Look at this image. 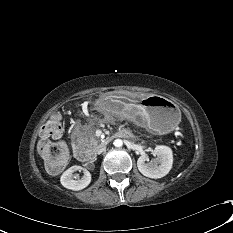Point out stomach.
<instances>
[{
    "instance_id": "0dacf381",
    "label": "stomach",
    "mask_w": 233,
    "mask_h": 233,
    "mask_svg": "<svg viewBox=\"0 0 233 233\" xmlns=\"http://www.w3.org/2000/svg\"><path fill=\"white\" fill-rule=\"evenodd\" d=\"M107 112L128 116L134 123L146 126L157 134L171 132L180 121V110L171 100L151 95L142 97L110 96L103 99Z\"/></svg>"
}]
</instances>
